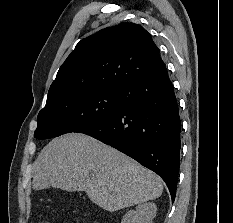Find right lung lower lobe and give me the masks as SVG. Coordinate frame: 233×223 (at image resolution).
<instances>
[{
    "instance_id": "obj_1",
    "label": "right lung lower lobe",
    "mask_w": 233,
    "mask_h": 223,
    "mask_svg": "<svg viewBox=\"0 0 233 223\" xmlns=\"http://www.w3.org/2000/svg\"><path fill=\"white\" fill-rule=\"evenodd\" d=\"M181 122L166 67L120 89L119 110L83 127L90 135L157 173L175 199Z\"/></svg>"
}]
</instances>
